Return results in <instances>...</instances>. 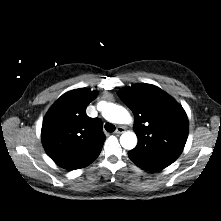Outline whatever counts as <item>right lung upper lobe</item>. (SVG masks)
Returning <instances> with one entry per match:
<instances>
[{
  "instance_id": "right-lung-upper-lobe-1",
  "label": "right lung upper lobe",
  "mask_w": 221,
  "mask_h": 221,
  "mask_svg": "<svg viewBox=\"0 0 221 221\" xmlns=\"http://www.w3.org/2000/svg\"><path fill=\"white\" fill-rule=\"evenodd\" d=\"M97 96L87 88L63 94L43 119L41 139L48 156L68 170L92 163L100 154L105 135L99 118L86 115V107Z\"/></svg>"
}]
</instances>
